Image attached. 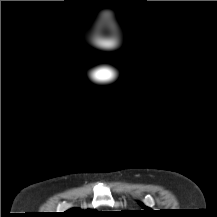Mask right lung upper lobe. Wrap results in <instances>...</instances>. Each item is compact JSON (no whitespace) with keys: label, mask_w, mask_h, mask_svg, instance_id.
<instances>
[{"label":"right lung upper lobe","mask_w":217,"mask_h":217,"mask_svg":"<svg viewBox=\"0 0 217 217\" xmlns=\"http://www.w3.org/2000/svg\"><path fill=\"white\" fill-rule=\"evenodd\" d=\"M94 212L92 210H81V209H70L64 213H62L61 216L63 217H88L91 214H93Z\"/></svg>","instance_id":"cb5924a9"}]
</instances>
